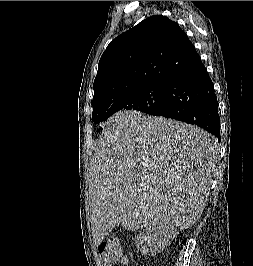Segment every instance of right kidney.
<instances>
[{
	"instance_id": "right-kidney-1",
	"label": "right kidney",
	"mask_w": 253,
	"mask_h": 266,
	"mask_svg": "<svg viewBox=\"0 0 253 266\" xmlns=\"http://www.w3.org/2000/svg\"><path fill=\"white\" fill-rule=\"evenodd\" d=\"M175 228L171 224L146 228L135 236L137 245L144 254L160 253L178 234Z\"/></svg>"
}]
</instances>
